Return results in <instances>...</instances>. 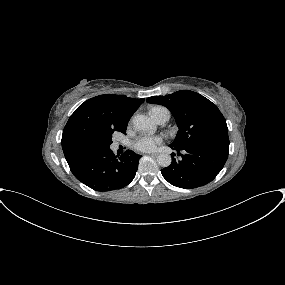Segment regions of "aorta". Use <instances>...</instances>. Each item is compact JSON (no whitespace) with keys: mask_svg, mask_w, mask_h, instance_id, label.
<instances>
[{"mask_svg":"<svg viewBox=\"0 0 285 285\" xmlns=\"http://www.w3.org/2000/svg\"><path fill=\"white\" fill-rule=\"evenodd\" d=\"M134 127L138 131L149 132L155 130L154 123L145 115L137 114L132 119ZM172 162L171 156L167 153H162L157 156V163L161 167H168Z\"/></svg>","mask_w":285,"mask_h":285,"instance_id":"762f6f07","label":"aorta"}]
</instances>
